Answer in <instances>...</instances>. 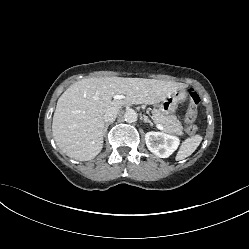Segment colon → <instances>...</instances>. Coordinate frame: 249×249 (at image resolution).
Here are the masks:
<instances>
[{"label":"colon","mask_w":249,"mask_h":249,"mask_svg":"<svg viewBox=\"0 0 249 249\" xmlns=\"http://www.w3.org/2000/svg\"><path fill=\"white\" fill-rule=\"evenodd\" d=\"M188 98H189V109L185 116V125L187 127V133L189 135H193L196 131V126L194 124L197 113L198 107L200 104V96L194 90L188 91Z\"/></svg>","instance_id":"1"}]
</instances>
